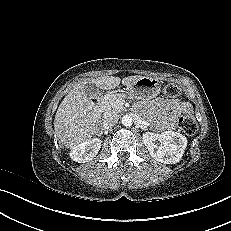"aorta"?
Here are the masks:
<instances>
[{
    "label": "aorta",
    "mask_w": 231,
    "mask_h": 231,
    "mask_svg": "<svg viewBox=\"0 0 231 231\" xmlns=\"http://www.w3.org/2000/svg\"><path fill=\"white\" fill-rule=\"evenodd\" d=\"M132 117L129 115H124L122 117V124L126 127H130L132 125Z\"/></svg>",
    "instance_id": "762f6f07"
}]
</instances>
